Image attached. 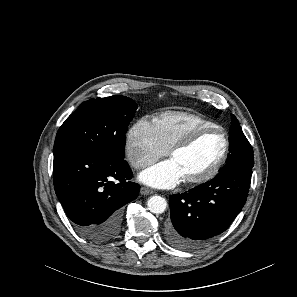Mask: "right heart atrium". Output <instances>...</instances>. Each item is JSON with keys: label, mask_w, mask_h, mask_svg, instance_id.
Wrapping results in <instances>:
<instances>
[{"label": "right heart atrium", "mask_w": 297, "mask_h": 297, "mask_svg": "<svg viewBox=\"0 0 297 297\" xmlns=\"http://www.w3.org/2000/svg\"><path fill=\"white\" fill-rule=\"evenodd\" d=\"M124 147L126 157L135 169L151 165L168 152L159 142L153 123L146 119L138 120L129 128Z\"/></svg>", "instance_id": "right-heart-atrium-1"}]
</instances>
